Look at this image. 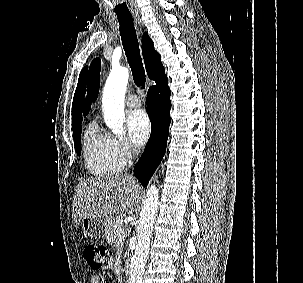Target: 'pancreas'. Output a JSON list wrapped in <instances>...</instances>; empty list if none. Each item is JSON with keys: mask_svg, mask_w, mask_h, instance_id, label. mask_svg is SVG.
I'll use <instances>...</instances> for the list:
<instances>
[{"mask_svg": "<svg viewBox=\"0 0 303 283\" xmlns=\"http://www.w3.org/2000/svg\"><path fill=\"white\" fill-rule=\"evenodd\" d=\"M126 234H125V228L124 225L117 222V220L113 221L111 231L109 235L107 236V240L109 243H120L124 240Z\"/></svg>", "mask_w": 303, "mask_h": 283, "instance_id": "obj_1", "label": "pancreas"}]
</instances>
